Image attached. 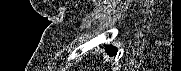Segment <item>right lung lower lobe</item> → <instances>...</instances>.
<instances>
[{
	"label": "right lung lower lobe",
	"mask_w": 181,
	"mask_h": 71,
	"mask_svg": "<svg viewBox=\"0 0 181 71\" xmlns=\"http://www.w3.org/2000/svg\"><path fill=\"white\" fill-rule=\"evenodd\" d=\"M105 51L108 55L113 56L117 53V49L111 45L106 46Z\"/></svg>",
	"instance_id": "1"
}]
</instances>
